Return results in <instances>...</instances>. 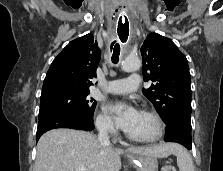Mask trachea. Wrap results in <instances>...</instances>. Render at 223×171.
Returning a JSON list of instances; mask_svg holds the SVG:
<instances>
[{
	"instance_id": "trachea-1",
	"label": "trachea",
	"mask_w": 223,
	"mask_h": 171,
	"mask_svg": "<svg viewBox=\"0 0 223 171\" xmlns=\"http://www.w3.org/2000/svg\"><path fill=\"white\" fill-rule=\"evenodd\" d=\"M113 49V54L111 57L112 63L117 64L119 61V55H120V45L119 43H116L113 47V44L111 45V51Z\"/></svg>"
}]
</instances>
